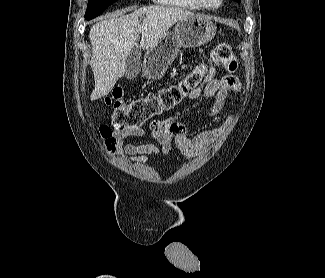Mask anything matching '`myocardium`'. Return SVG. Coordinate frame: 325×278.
Listing matches in <instances>:
<instances>
[{
	"label": "myocardium",
	"instance_id": "f54148a6",
	"mask_svg": "<svg viewBox=\"0 0 325 278\" xmlns=\"http://www.w3.org/2000/svg\"><path fill=\"white\" fill-rule=\"evenodd\" d=\"M203 9H208V10H215L217 8H219L224 0H219V2L216 5H207L204 0H195Z\"/></svg>",
	"mask_w": 325,
	"mask_h": 278
}]
</instances>
